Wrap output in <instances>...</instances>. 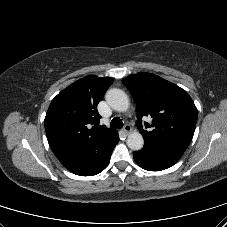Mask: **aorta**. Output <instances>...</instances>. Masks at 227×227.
I'll list each match as a JSON object with an SVG mask.
<instances>
[{
    "label": "aorta",
    "mask_w": 227,
    "mask_h": 227,
    "mask_svg": "<svg viewBox=\"0 0 227 227\" xmlns=\"http://www.w3.org/2000/svg\"><path fill=\"white\" fill-rule=\"evenodd\" d=\"M105 98L108 105L116 111L124 112L129 108V98L121 89L108 90ZM127 145L131 150H141L144 145L143 136L138 131L130 133L127 138Z\"/></svg>",
    "instance_id": "obj_1"
}]
</instances>
